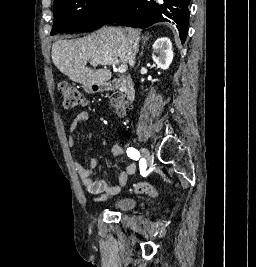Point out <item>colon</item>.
<instances>
[{"label":"colon","instance_id":"5ec220e1","mask_svg":"<svg viewBox=\"0 0 256 267\" xmlns=\"http://www.w3.org/2000/svg\"><path fill=\"white\" fill-rule=\"evenodd\" d=\"M59 93L61 95L63 105L67 109H75L85 104L83 93L80 92L74 85L66 83L60 84ZM115 105L120 113L124 112L127 108V105L122 101L116 102ZM133 191L137 193H147L152 197L157 196V191H155L154 187L146 182H138L134 184Z\"/></svg>","mask_w":256,"mask_h":267}]
</instances>
